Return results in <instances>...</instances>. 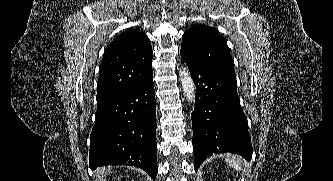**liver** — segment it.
Returning a JSON list of instances; mask_svg holds the SVG:
<instances>
[{
    "mask_svg": "<svg viewBox=\"0 0 333 181\" xmlns=\"http://www.w3.org/2000/svg\"><path fill=\"white\" fill-rule=\"evenodd\" d=\"M111 168L110 167H104V168H99L96 171V175L98 177L97 181H103V177L110 174Z\"/></svg>",
    "mask_w": 333,
    "mask_h": 181,
    "instance_id": "liver-1",
    "label": "liver"
}]
</instances>
